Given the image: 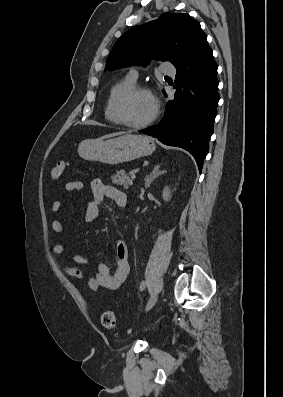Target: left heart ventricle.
<instances>
[{
    "mask_svg": "<svg viewBox=\"0 0 283 397\" xmlns=\"http://www.w3.org/2000/svg\"><path fill=\"white\" fill-rule=\"evenodd\" d=\"M154 112L153 99L144 93L133 96L125 106V116L133 123L147 120Z\"/></svg>",
    "mask_w": 283,
    "mask_h": 397,
    "instance_id": "obj_1",
    "label": "left heart ventricle"
}]
</instances>
